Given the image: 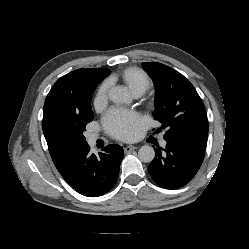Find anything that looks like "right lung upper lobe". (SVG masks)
Returning <instances> with one entry per match:
<instances>
[{"mask_svg":"<svg viewBox=\"0 0 249 249\" xmlns=\"http://www.w3.org/2000/svg\"><path fill=\"white\" fill-rule=\"evenodd\" d=\"M108 73L110 70L104 68L78 69L61 77L50 90L44 103L42 127L53 161L70 146L62 137V123L84 107L91 83Z\"/></svg>","mask_w":249,"mask_h":249,"instance_id":"cb5924a9","label":"right lung upper lobe"}]
</instances>
